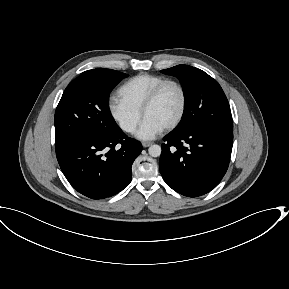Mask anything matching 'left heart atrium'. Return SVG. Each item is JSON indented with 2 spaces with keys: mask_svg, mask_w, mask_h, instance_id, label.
Instances as JSON below:
<instances>
[{
  "mask_svg": "<svg viewBox=\"0 0 289 289\" xmlns=\"http://www.w3.org/2000/svg\"><path fill=\"white\" fill-rule=\"evenodd\" d=\"M163 129L160 124L151 119L144 118L136 135L139 139L149 140L155 138Z\"/></svg>",
  "mask_w": 289,
  "mask_h": 289,
  "instance_id": "left-heart-atrium-1",
  "label": "left heart atrium"
}]
</instances>
